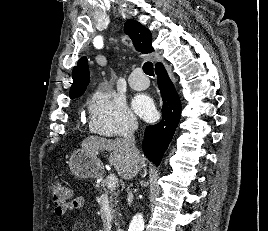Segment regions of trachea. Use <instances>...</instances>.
<instances>
[{"label": "trachea", "instance_id": "obj_1", "mask_svg": "<svg viewBox=\"0 0 268 231\" xmlns=\"http://www.w3.org/2000/svg\"><path fill=\"white\" fill-rule=\"evenodd\" d=\"M143 71L147 75L154 76L153 64L151 62H146L143 65Z\"/></svg>", "mask_w": 268, "mask_h": 231}]
</instances>
